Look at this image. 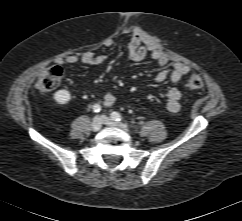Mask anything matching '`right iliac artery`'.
Wrapping results in <instances>:
<instances>
[{
	"mask_svg": "<svg viewBox=\"0 0 242 221\" xmlns=\"http://www.w3.org/2000/svg\"><path fill=\"white\" fill-rule=\"evenodd\" d=\"M100 110H101V106H100L99 104H95V105L93 106V111H94V112L98 113Z\"/></svg>",
	"mask_w": 242,
	"mask_h": 221,
	"instance_id": "1",
	"label": "right iliac artery"
}]
</instances>
